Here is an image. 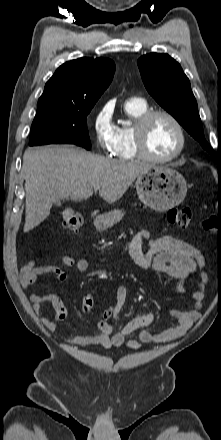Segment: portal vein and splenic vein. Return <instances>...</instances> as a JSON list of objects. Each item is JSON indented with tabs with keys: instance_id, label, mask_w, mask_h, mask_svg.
<instances>
[{
	"instance_id": "portal-vein-and-splenic-vein-1",
	"label": "portal vein and splenic vein",
	"mask_w": 221,
	"mask_h": 440,
	"mask_svg": "<svg viewBox=\"0 0 221 440\" xmlns=\"http://www.w3.org/2000/svg\"><path fill=\"white\" fill-rule=\"evenodd\" d=\"M99 189H100L99 186H95V187H94V190H95V191H98Z\"/></svg>"
}]
</instances>
